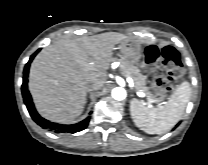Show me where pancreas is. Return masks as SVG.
<instances>
[{
	"mask_svg": "<svg viewBox=\"0 0 208 165\" xmlns=\"http://www.w3.org/2000/svg\"><path fill=\"white\" fill-rule=\"evenodd\" d=\"M120 62V70L122 74L131 77L134 80L135 87L139 91L144 92L148 97L152 99H156L153 94L149 92L148 87L146 86V77L140 73L139 69L126 60H120Z\"/></svg>",
	"mask_w": 208,
	"mask_h": 165,
	"instance_id": "pancreas-1",
	"label": "pancreas"
}]
</instances>
